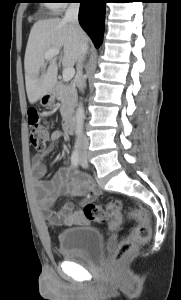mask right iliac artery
<instances>
[{"label":"right iliac artery","instance_id":"obj_1","mask_svg":"<svg viewBox=\"0 0 181 300\" xmlns=\"http://www.w3.org/2000/svg\"><path fill=\"white\" fill-rule=\"evenodd\" d=\"M71 163L73 166L78 167L79 165V151H78V145H75V149L72 152L71 156Z\"/></svg>","mask_w":181,"mask_h":300}]
</instances>
